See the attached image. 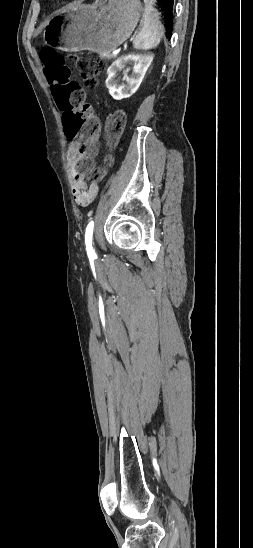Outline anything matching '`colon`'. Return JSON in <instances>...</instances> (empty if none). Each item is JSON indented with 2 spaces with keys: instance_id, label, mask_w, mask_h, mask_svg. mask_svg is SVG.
<instances>
[{
  "instance_id": "1",
  "label": "colon",
  "mask_w": 253,
  "mask_h": 548,
  "mask_svg": "<svg viewBox=\"0 0 253 548\" xmlns=\"http://www.w3.org/2000/svg\"><path fill=\"white\" fill-rule=\"evenodd\" d=\"M43 63L42 71L49 83V96L55 99L58 109L62 112L65 126L64 137L83 136V146L76 163V172L84 175L90 181H101L106 173L111 158L106 159V166H96V142L101 132L100 119L91 111L84 101V91L75 83L71 76L72 67L78 72L82 85L92 87L104 68L100 60L80 54L62 56L58 52L45 48L40 52ZM126 124V113L121 108L112 110L105 123V132L110 146H113L121 136Z\"/></svg>"
}]
</instances>
